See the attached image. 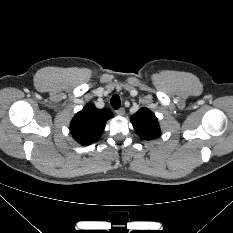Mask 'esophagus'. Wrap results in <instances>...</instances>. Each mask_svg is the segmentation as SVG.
Here are the masks:
<instances>
[{"instance_id":"1","label":"esophagus","mask_w":233,"mask_h":233,"mask_svg":"<svg viewBox=\"0 0 233 233\" xmlns=\"http://www.w3.org/2000/svg\"><path fill=\"white\" fill-rule=\"evenodd\" d=\"M124 113H125L124 108H120L119 110L116 111V114H117L118 116H123Z\"/></svg>"}]
</instances>
